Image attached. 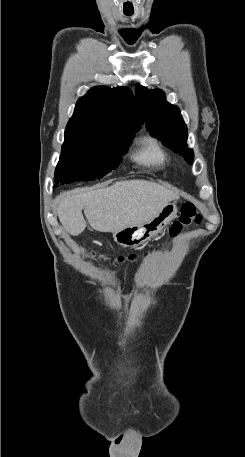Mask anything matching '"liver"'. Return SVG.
<instances>
[{"label": "liver", "instance_id": "liver-1", "mask_svg": "<svg viewBox=\"0 0 245 457\" xmlns=\"http://www.w3.org/2000/svg\"><path fill=\"white\" fill-rule=\"evenodd\" d=\"M174 198L177 194L158 182L119 180L97 190H67L57 196L56 202L61 224L69 235L77 237L86 229L82 208L92 229L116 233L124 226L150 220Z\"/></svg>", "mask_w": 245, "mask_h": 457}]
</instances>
